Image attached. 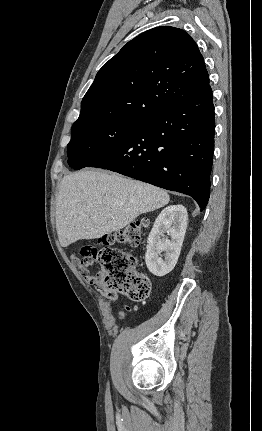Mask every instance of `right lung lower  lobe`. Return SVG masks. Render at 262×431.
<instances>
[{"instance_id":"right-lung-lower-lobe-1","label":"right lung lower lobe","mask_w":262,"mask_h":431,"mask_svg":"<svg viewBox=\"0 0 262 431\" xmlns=\"http://www.w3.org/2000/svg\"><path fill=\"white\" fill-rule=\"evenodd\" d=\"M214 131L209 85L198 95L142 119L125 140L88 167L187 194L202 211L210 194Z\"/></svg>"}]
</instances>
